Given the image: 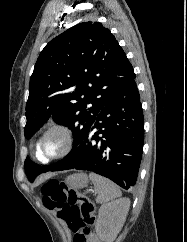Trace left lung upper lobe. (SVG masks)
Returning <instances> with one entry per match:
<instances>
[{"label": "left lung upper lobe", "instance_id": "left-lung-upper-lobe-1", "mask_svg": "<svg viewBox=\"0 0 187 242\" xmlns=\"http://www.w3.org/2000/svg\"><path fill=\"white\" fill-rule=\"evenodd\" d=\"M136 77L109 29L83 22L51 40L41 51L30 78L25 137L52 118L69 127L73 148L62 160L41 166L25 160L29 180L50 171L83 141L102 108Z\"/></svg>", "mask_w": 187, "mask_h": 242}]
</instances>
